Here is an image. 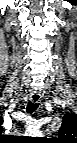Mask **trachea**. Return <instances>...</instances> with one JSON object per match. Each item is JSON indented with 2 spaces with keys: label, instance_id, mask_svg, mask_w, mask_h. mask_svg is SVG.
Masks as SVG:
<instances>
[{
  "label": "trachea",
  "instance_id": "trachea-1",
  "mask_svg": "<svg viewBox=\"0 0 77 143\" xmlns=\"http://www.w3.org/2000/svg\"><path fill=\"white\" fill-rule=\"evenodd\" d=\"M39 104L38 103H33L31 101H29L27 107H26V111L28 113H33L34 111H36V109L38 108Z\"/></svg>",
  "mask_w": 77,
  "mask_h": 143
}]
</instances>
